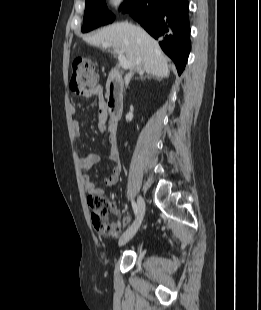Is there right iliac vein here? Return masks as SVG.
Here are the masks:
<instances>
[{"label":"right iliac vein","instance_id":"63e3f726","mask_svg":"<svg viewBox=\"0 0 261 310\" xmlns=\"http://www.w3.org/2000/svg\"><path fill=\"white\" fill-rule=\"evenodd\" d=\"M146 210V204L142 196L138 197V214L137 218L132 224V226L121 236L119 239V246L125 245L127 242H129L133 236L136 234L137 230L139 229L142 220L145 215Z\"/></svg>","mask_w":261,"mask_h":310}]
</instances>
